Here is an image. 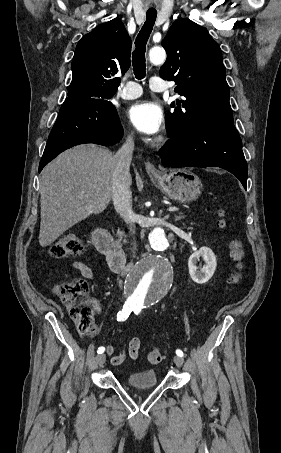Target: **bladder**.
<instances>
[{"label":"bladder","instance_id":"obj_1","mask_svg":"<svg viewBox=\"0 0 281 453\" xmlns=\"http://www.w3.org/2000/svg\"><path fill=\"white\" fill-rule=\"evenodd\" d=\"M127 384L136 388H149L157 383V376L153 370L131 373L126 378Z\"/></svg>","mask_w":281,"mask_h":453}]
</instances>
